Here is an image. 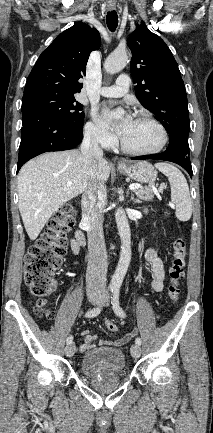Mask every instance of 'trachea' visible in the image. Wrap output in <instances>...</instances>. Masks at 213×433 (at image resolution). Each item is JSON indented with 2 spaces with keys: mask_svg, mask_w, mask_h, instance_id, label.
I'll use <instances>...</instances> for the list:
<instances>
[{
  "mask_svg": "<svg viewBox=\"0 0 213 433\" xmlns=\"http://www.w3.org/2000/svg\"><path fill=\"white\" fill-rule=\"evenodd\" d=\"M106 22L109 30L114 32L118 26V15L115 10L107 13Z\"/></svg>",
  "mask_w": 213,
  "mask_h": 433,
  "instance_id": "1",
  "label": "trachea"
}]
</instances>
